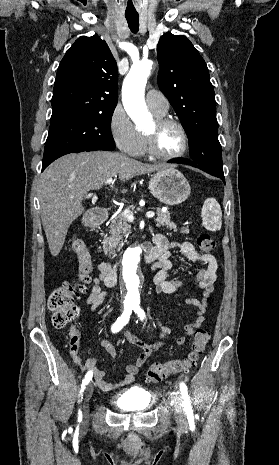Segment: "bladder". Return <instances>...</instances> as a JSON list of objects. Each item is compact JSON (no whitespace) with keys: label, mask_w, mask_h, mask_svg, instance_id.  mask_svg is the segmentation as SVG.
<instances>
[{"label":"bladder","mask_w":279,"mask_h":465,"mask_svg":"<svg viewBox=\"0 0 279 465\" xmlns=\"http://www.w3.org/2000/svg\"><path fill=\"white\" fill-rule=\"evenodd\" d=\"M115 407L126 412H144L152 406L150 392L141 386H132L114 396Z\"/></svg>","instance_id":"31cf9c89"}]
</instances>
